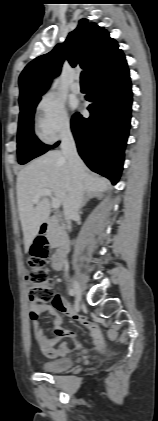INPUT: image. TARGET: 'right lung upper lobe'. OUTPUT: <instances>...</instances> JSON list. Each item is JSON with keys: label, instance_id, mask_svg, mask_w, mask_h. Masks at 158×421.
I'll return each instance as SVG.
<instances>
[{"label": "right lung upper lobe", "instance_id": "right-lung-upper-lobe-1", "mask_svg": "<svg viewBox=\"0 0 158 421\" xmlns=\"http://www.w3.org/2000/svg\"><path fill=\"white\" fill-rule=\"evenodd\" d=\"M117 41L103 27L81 19L63 44L27 64L19 77V103L44 94L52 78L59 75L65 59L72 67L85 69L88 79L111 59L121 54Z\"/></svg>", "mask_w": 158, "mask_h": 421}]
</instances>
